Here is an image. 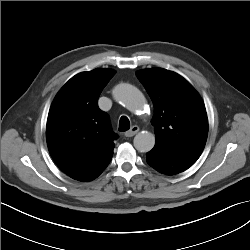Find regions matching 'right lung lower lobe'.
<instances>
[{"label":"right lung lower lobe","instance_id":"98d812e1","mask_svg":"<svg viewBox=\"0 0 250 250\" xmlns=\"http://www.w3.org/2000/svg\"><path fill=\"white\" fill-rule=\"evenodd\" d=\"M111 159H112V156H110L109 158L104 160L101 164H99L98 166L93 168L91 171H89L88 173L84 174L83 176H81L80 178H78L76 180L91 181V180L95 179L105 170V168L110 163Z\"/></svg>","mask_w":250,"mask_h":250}]
</instances>
